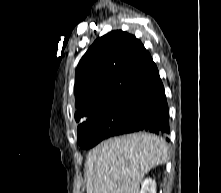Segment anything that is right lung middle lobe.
Instances as JSON below:
<instances>
[{
	"instance_id": "obj_1",
	"label": "right lung middle lobe",
	"mask_w": 221,
	"mask_h": 193,
	"mask_svg": "<svg viewBox=\"0 0 221 193\" xmlns=\"http://www.w3.org/2000/svg\"><path fill=\"white\" fill-rule=\"evenodd\" d=\"M147 109V100L121 99L109 103L96 111L78 126V143L88 149L100 141L115 136L116 133L132 124Z\"/></svg>"
}]
</instances>
